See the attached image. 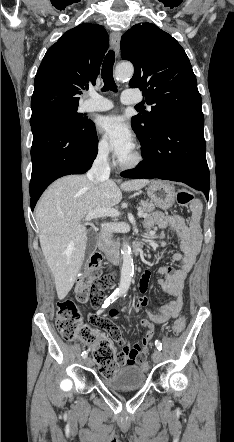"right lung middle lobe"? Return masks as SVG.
<instances>
[{
  "mask_svg": "<svg viewBox=\"0 0 234 442\" xmlns=\"http://www.w3.org/2000/svg\"><path fill=\"white\" fill-rule=\"evenodd\" d=\"M59 122L74 131L86 132L94 126L91 120L78 112V107L72 108H55L36 115H32L30 119L31 126L40 122Z\"/></svg>",
  "mask_w": 234,
  "mask_h": 442,
  "instance_id": "obj_1",
  "label": "right lung middle lobe"
}]
</instances>
